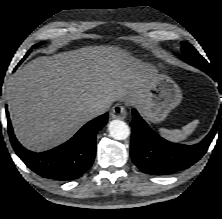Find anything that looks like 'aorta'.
<instances>
[{
  "instance_id": "obj_1",
  "label": "aorta",
  "mask_w": 222,
  "mask_h": 219,
  "mask_svg": "<svg viewBox=\"0 0 222 219\" xmlns=\"http://www.w3.org/2000/svg\"><path fill=\"white\" fill-rule=\"evenodd\" d=\"M108 131L112 138L116 140H124L130 135L128 125L121 120H112L108 125Z\"/></svg>"
}]
</instances>
